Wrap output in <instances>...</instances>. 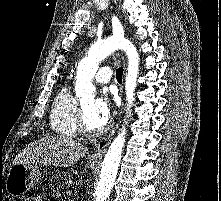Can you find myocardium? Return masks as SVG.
Wrapping results in <instances>:
<instances>
[{"mask_svg":"<svg viewBox=\"0 0 221 201\" xmlns=\"http://www.w3.org/2000/svg\"><path fill=\"white\" fill-rule=\"evenodd\" d=\"M76 121H77L78 132L84 136H87V137L99 136V135L103 134L108 128L107 123H105L103 126H101L98 129H95V130L89 128L86 124L82 104H78Z\"/></svg>","mask_w":221,"mask_h":201,"instance_id":"myocardium-1","label":"myocardium"}]
</instances>
